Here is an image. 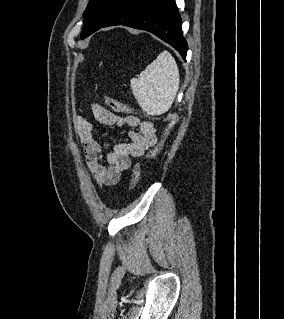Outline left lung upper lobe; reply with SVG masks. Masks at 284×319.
<instances>
[{
  "label": "left lung upper lobe",
  "mask_w": 284,
  "mask_h": 319,
  "mask_svg": "<svg viewBox=\"0 0 284 319\" xmlns=\"http://www.w3.org/2000/svg\"><path fill=\"white\" fill-rule=\"evenodd\" d=\"M124 0H90L83 16L85 25L90 27L92 34L104 26V24L115 14ZM85 32L82 33L84 38Z\"/></svg>",
  "instance_id": "5c2ea615"
}]
</instances>
